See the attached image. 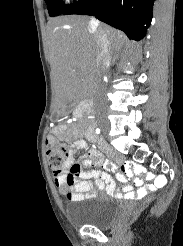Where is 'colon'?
<instances>
[{
  "mask_svg": "<svg viewBox=\"0 0 183 246\" xmlns=\"http://www.w3.org/2000/svg\"><path fill=\"white\" fill-rule=\"evenodd\" d=\"M47 146V159L50 167L54 170H61L67 159V155L65 153V148L62 142L55 137L54 135H48L46 139ZM76 171H69V173H74ZM139 172V171H138ZM136 215V212H130L126 215V219H132Z\"/></svg>",
  "mask_w": 183,
  "mask_h": 246,
  "instance_id": "1",
  "label": "colon"
}]
</instances>
